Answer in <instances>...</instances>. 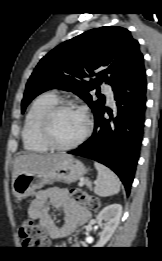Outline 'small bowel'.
<instances>
[{
	"label": "small bowel",
	"instance_id": "obj_1",
	"mask_svg": "<svg viewBox=\"0 0 162 261\" xmlns=\"http://www.w3.org/2000/svg\"><path fill=\"white\" fill-rule=\"evenodd\" d=\"M51 207L64 212L67 220L66 231L75 230L78 227L74 215L81 210L74 204L65 189L55 188L37 192L29 206L28 215L37 220L51 236H55L58 234V229L50 214Z\"/></svg>",
	"mask_w": 162,
	"mask_h": 261
}]
</instances>
